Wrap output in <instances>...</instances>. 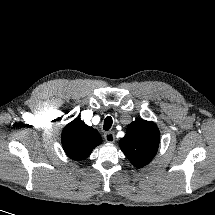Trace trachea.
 Masks as SVG:
<instances>
[{
  "label": "trachea",
  "instance_id": "trachea-1",
  "mask_svg": "<svg viewBox=\"0 0 215 215\" xmlns=\"http://www.w3.org/2000/svg\"><path fill=\"white\" fill-rule=\"evenodd\" d=\"M112 122H113L112 117H111V116H107V117L105 118V120H104L103 129H104L105 131H108V130L111 128V126H112Z\"/></svg>",
  "mask_w": 215,
  "mask_h": 215
}]
</instances>
